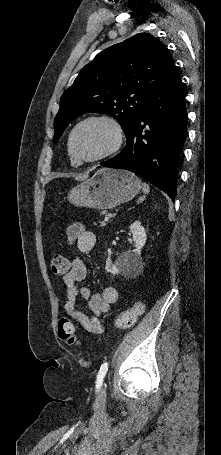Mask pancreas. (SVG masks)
<instances>
[{
	"instance_id": "obj_1",
	"label": "pancreas",
	"mask_w": 221,
	"mask_h": 455,
	"mask_svg": "<svg viewBox=\"0 0 221 455\" xmlns=\"http://www.w3.org/2000/svg\"><path fill=\"white\" fill-rule=\"evenodd\" d=\"M99 223L101 224V226H105L106 225V222H103V221H99Z\"/></svg>"
}]
</instances>
